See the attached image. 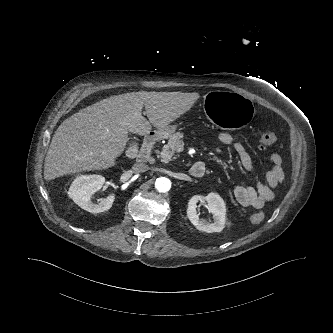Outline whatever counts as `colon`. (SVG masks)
I'll use <instances>...</instances> for the list:
<instances>
[{"mask_svg": "<svg viewBox=\"0 0 333 333\" xmlns=\"http://www.w3.org/2000/svg\"><path fill=\"white\" fill-rule=\"evenodd\" d=\"M277 140V136L273 131H265L262 133L260 137V147L262 149H266L270 146H272ZM264 213L263 212H257L251 216V222L253 224H259L264 220Z\"/></svg>", "mask_w": 333, "mask_h": 333, "instance_id": "obj_1", "label": "colon"}]
</instances>
